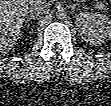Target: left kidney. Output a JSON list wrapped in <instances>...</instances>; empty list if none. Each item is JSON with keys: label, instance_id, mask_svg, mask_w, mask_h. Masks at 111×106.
I'll list each match as a JSON object with an SVG mask.
<instances>
[{"label": "left kidney", "instance_id": "left-kidney-1", "mask_svg": "<svg viewBox=\"0 0 111 106\" xmlns=\"http://www.w3.org/2000/svg\"><path fill=\"white\" fill-rule=\"evenodd\" d=\"M75 19L80 36L90 44H101L111 37V20L107 16L82 12Z\"/></svg>", "mask_w": 111, "mask_h": 106}]
</instances>
